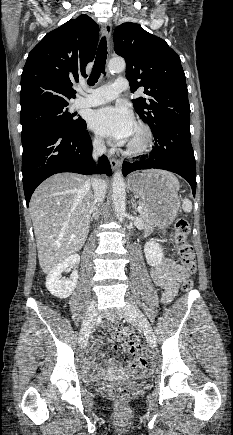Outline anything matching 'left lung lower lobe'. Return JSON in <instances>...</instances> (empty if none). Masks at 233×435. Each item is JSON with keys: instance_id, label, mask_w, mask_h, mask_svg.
<instances>
[{"instance_id": "left-lung-lower-lobe-1", "label": "left lung lower lobe", "mask_w": 233, "mask_h": 435, "mask_svg": "<svg viewBox=\"0 0 233 435\" xmlns=\"http://www.w3.org/2000/svg\"><path fill=\"white\" fill-rule=\"evenodd\" d=\"M155 143L147 159L134 163L124 162V176L140 169H164L182 176L192 187L193 196L196 192V163L190 141L189 124L169 126L157 132H152Z\"/></svg>"}]
</instances>
